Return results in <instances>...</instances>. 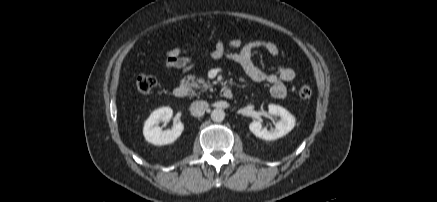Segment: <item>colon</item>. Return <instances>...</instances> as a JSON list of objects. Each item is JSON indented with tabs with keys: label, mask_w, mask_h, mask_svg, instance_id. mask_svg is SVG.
<instances>
[{
	"label": "colon",
	"mask_w": 437,
	"mask_h": 202,
	"mask_svg": "<svg viewBox=\"0 0 437 202\" xmlns=\"http://www.w3.org/2000/svg\"><path fill=\"white\" fill-rule=\"evenodd\" d=\"M156 85V79L151 75L140 74L136 78V88L141 94H148ZM299 96L302 99H309L312 96V89L303 85L299 89Z\"/></svg>",
	"instance_id": "colon-1"
}]
</instances>
